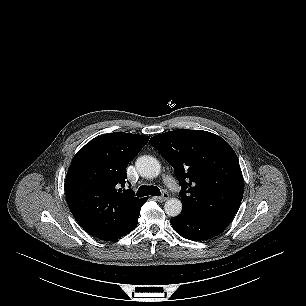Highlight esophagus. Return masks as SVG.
<instances>
[{"label": "esophagus", "instance_id": "esophagus-1", "mask_svg": "<svg viewBox=\"0 0 306 306\" xmlns=\"http://www.w3.org/2000/svg\"><path fill=\"white\" fill-rule=\"evenodd\" d=\"M169 198V194L167 192H163L161 196L155 197V199L159 202H164Z\"/></svg>", "mask_w": 306, "mask_h": 306}]
</instances>
